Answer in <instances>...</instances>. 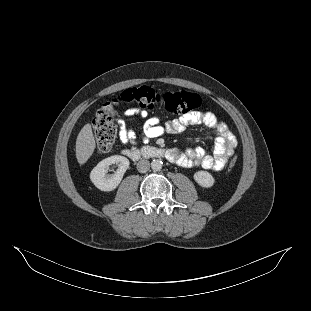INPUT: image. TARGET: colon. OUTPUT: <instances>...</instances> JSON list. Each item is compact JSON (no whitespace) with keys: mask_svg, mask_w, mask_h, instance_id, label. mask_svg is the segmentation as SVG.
<instances>
[{"mask_svg":"<svg viewBox=\"0 0 311 311\" xmlns=\"http://www.w3.org/2000/svg\"><path fill=\"white\" fill-rule=\"evenodd\" d=\"M132 103L143 109L162 110L170 114L183 115L201 104L198 94L188 91L157 92L148 86L129 88L121 95L103 105L92 120V127L96 137V149L100 154L108 153L116 139L117 129L114 124L116 107L119 103ZM237 164L233 157L228 165L232 170Z\"/></svg>","mask_w":311,"mask_h":311,"instance_id":"1","label":"colon"}]
</instances>
